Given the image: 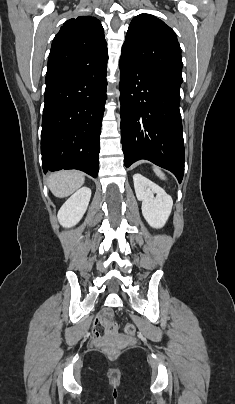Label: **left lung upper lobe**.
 <instances>
[{
	"instance_id": "left-lung-upper-lobe-1",
	"label": "left lung upper lobe",
	"mask_w": 235,
	"mask_h": 404,
	"mask_svg": "<svg viewBox=\"0 0 235 404\" xmlns=\"http://www.w3.org/2000/svg\"><path fill=\"white\" fill-rule=\"evenodd\" d=\"M122 56L182 82L181 48L175 32L162 20L140 14L131 21Z\"/></svg>"
}]
</instances>
